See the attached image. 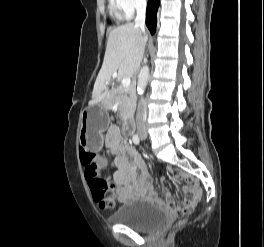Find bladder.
Instances as JSON below:
<instances>
[{"mask_svg": "<svg viewBox=\"0 0 264 247\" xmlns=\"http://www.w3.org/2000/svg\"><path fill=\"white\" fill-rule=\"evenodd\" d=\"M111 219L140 232H151L167 220L164 209L144 200H132L120 206Z\"/></svg>", "mask_w": 264, "mask_h": 247, "instance_id": "1", "label": "bladder"}]
</instances>
